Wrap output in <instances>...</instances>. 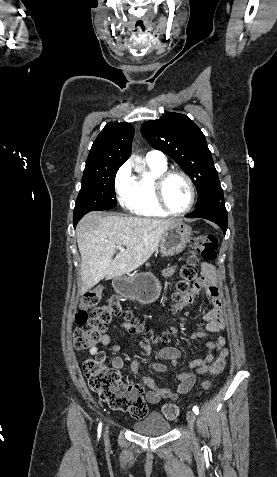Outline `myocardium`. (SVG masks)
Masks as SVG:
<instances>
[{
	"label": "myocardium",
	"mask_w": 277,
	"mask_h": 477,
	"mask_svg": "<svg viewBox=\"0 0 277 477\" xmlns=\"http://www.w3.org/2000/svg\"><path fill=\"white\" fill-rule=\"evenodd\" d=\"M175 175L183 177L186 180V182L188 183L189 190H190L189 203H188L187 207L182 211L172 210L170 208V206L168 205V203L166 201V198H165V185H166L168 179L171 178L172 176H175ZM154 193H155L157 203L161 207V209L164 210L168 215H172V216H184V215H186L187 213H189L191 211V209L193 208V206L195 204V200H196V188H195V184H194L192 178L186 172H184L182 170H178V169L165 170L164 172L158 174L155 178V181H154Z\"/></svg>",
	"instance_id": "obj_1"
}]
</instances>
